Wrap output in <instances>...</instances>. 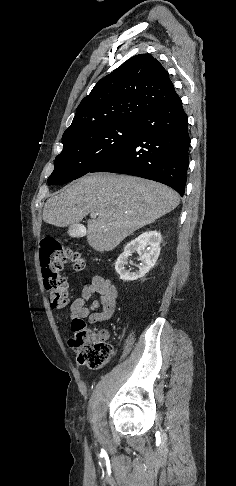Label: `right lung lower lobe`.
Segmentation results:
<instances>
[{
  "label": "right lung lower lobe",
  "mask_w": 236,
  "mask_h": 486,
  "mask_svg": "<svg viewBox=\"0 0 236 486\" xmlns=\"http://www.w3.org/2000/svg\"><path fill=\"white\" fill-rule=\"evenodd\" d=\"M136 125L135 137L91 172L151 179L170 186L183 196L190 137L182 101L152 110Z\"/></svg>",
  "instance_id": "right-lung-lower-lobe-1"
}]
</instances>
